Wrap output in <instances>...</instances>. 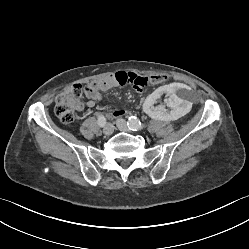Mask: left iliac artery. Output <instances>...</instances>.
Instances as JSON below:
<instances>
[{
	"label": "left iliac artery",
	"instance_id": "obj_1",
	"mask_svg": "<svg viewBox=\"0 0 249 249\" xmlns=\"http://www.w3.org/2000/svg\"><path fill=\"white\" fill-rule=\"evenodd\" d=\"M127 126L132 131H138L143 129L145 126L136 117L131 116L127 122Z\"/></svg>",
	"mask_w": 249,
	"mask_h": 249
}]
</instances>
